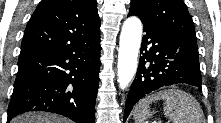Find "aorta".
I'll use <instances>...</instances> for the list:
<instances>
[{
  "label": "aorta",
  "instance_id": "obj_1",
  "mask_svg": "<svg viewBox=\"0 0 221 123\" xmlns=\"http://www.w3.org/2000/svg\"><path fill=\"white\" fill-rule=\"evenodd\" d=\"M141 37L142 24L139 18H127L121 30L118 53V83L121 89L129 85L136 73Z\"/></svg>",
  "mask_w": 221,
  "mask_h": 123
}]
</instances>
